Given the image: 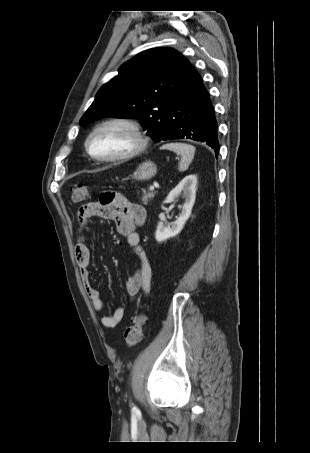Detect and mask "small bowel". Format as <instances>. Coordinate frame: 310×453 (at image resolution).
<instances>
[{
  "instance_id": "obj_1",
  "label": "small bowel",
  "mask_w": 310,
  "mask_h": 453,
  "mask_svg": "<svg viewBox=\"0 0 310 453\" xmlns=\"http://www.w3.org/2000/svg\"><path fill=\"white\" fill-rule=\"evenodd\" d=\"M92 217H101L114 220L118 232L124 236L138 256L140 261L139 269L126 281V291L131 300L135 299L140 292L147 295L151 287V267L147 256L141 246L140 236L136 227L144 224L146 220L145 209L136 203L128 201L122 196L113 193L110 203L88 202L82 205L77 211L78 220V241L75 245V258L80 270L82 282L87 296L97 311L104 308L99 291L92 285L90 266V251L85 242L84 233L87 230L88 221ZM125 310L118 307L109 316L101 318L105 328H115L123 320Z\"/></svg>"
}]
</instances>
